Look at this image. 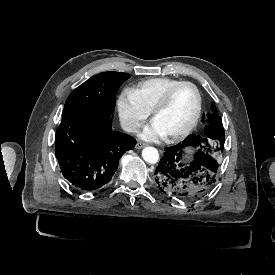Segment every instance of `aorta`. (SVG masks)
I'll return each mask as SVG.
<instances>
[{"instance_id":"obj_1","label":"aorta","mask_w":275,"mask_h":275,"mask_svg":"<svg viewBox=\"0 0 275 275\" xmlns=\"http://www.w3.org/2000/svg\"><path fill=\"white\" fill-rule=\"evenodd\" d=\"M142 157L149 164H156L159 161V152L154 147H146L142 151Z\"/></svg>"}]
</instances>
